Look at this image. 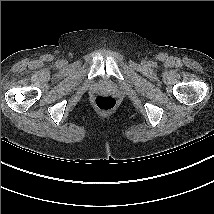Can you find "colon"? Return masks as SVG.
<instances>
[{
    "label": "colon",
    "mask_w": 214,
    "mask_h": 214,
    "mask_svg": "<svg viewBox=\"0 0 214 214\" xmlns=\"http://www.w3.org/2000/svg\"><path fill=\"white\" fill-rule=\"evenodd\" d=\"M96 107L103 112L111 111L116 106V100L109 95H100L95 99Z\"/></svg>",
    "instance_id": "5ec220e1"
}]
</instances>
